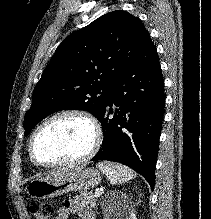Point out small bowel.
I'll list each match as a JSON object with an SVG mask.
<instances>
[{"mask_svg": "<svg viewBox=\"0 0 211 219\" xmlns=\"http://www.w3.org/2000/svg\"><path fill=\"white\" fill-rule=\"evenodd\" d=\"M71 215H76L81 219H96L94 213L84 206L80 199L64 202L55 219H69Z\"/></svg>", "mask_w": 211, "mask_h": 219, "instance_id": "1", "label": "small bowel"}]
</instances>
